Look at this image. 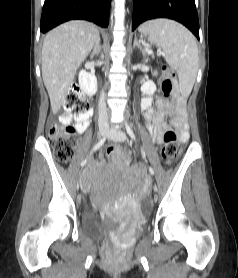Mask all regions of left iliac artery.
Returning <instances> with one entry per match:
<instances>
[{
    "instance_id": "obj_1",
    "label": "left iliac artery",
    "mask_w": 238,
    "mask_h": 278,
    "mask_svg": "<svg viewBox=\"0 0 238 278\" xmlns=\"http://www.w3.org/2000/svg\"><path fill=\"white\" fill-rule=\"evenodd\" d=\"M125 126H126V130H127L128 135H129L133 140H135L136 137H135L134 132H133V130L131 129V127H130L127 123H125ZM149 172H150L152 175H154V170H153L152 167H149Z\"/></svg>"
}]
</instances>
